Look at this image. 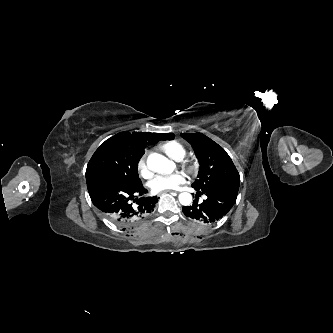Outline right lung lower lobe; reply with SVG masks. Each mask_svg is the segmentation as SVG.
<instances>
[{"instance_id":"right-lung-lower-lobe-1","label":"right lung lower lobe","mask_w":333,"mask_h":333,"mask_svg":"<svg viewBox=\"0 0 333 333\" xmlns=\"http://www.w3.org/2000/svg\"><path fill=\"white\" fill-rule=\"evenodd\" d=\"M86 181L92 203L123 230L149 216L159 199L157 196L138 199V195L147 193L142 183L131 184L103 173L86 176Z\"/></svg>"}]
</instances>
